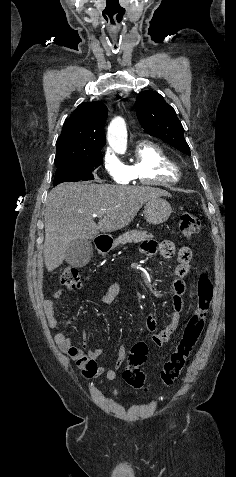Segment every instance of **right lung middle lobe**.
<instances>
[{
  "label": "right lung middle lobe",
  "instance_id": "1",
  "mask_svg": "<svg viewBox=\"0 0 236 477\" xmlns=\"http://www.w3.org/2000/svg\"><path fill=\"white\" fill-rule=\"evenodd\" d=\"M100 151L87 152L72 158L54 161L57 167L53 185L70 181H87L94 179L92 171L102 163Z\"/></svg>",
  "mask_w": 236,
  "mask_h": 477
}]
</instances>
